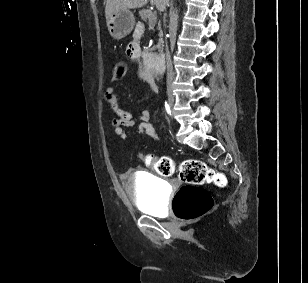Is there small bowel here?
Instances as JSON below:
<instances>
[{"mask_svg":"<svg viewBox=\"0 0 308 283\" xmlns=\"http://www.w3.org/2000/svg\"><path fill=\"white\" fill-rule=\"evenodd\" d=\"M142 33L143 27L141 24H138L134 30L133 40L127 44L125 53L128 58L135 60L138 63L136 77L139 80L147 81L150 79V70L140 48L139 40ZM104 98L113 113L111 126L116 135L125 139L128 136L127 129L136 127L137 134H145L152 139L158 138L155 128L150 123V114L148 111H141L139 116L136 118L133 113L122 109L119 106L118 98L113 86H107L104 89Z\"/></svg>","mask_w":308,"mask_h":283,"instance_id":"small-bowel-1","label":"small bowel"}]
</instances>
